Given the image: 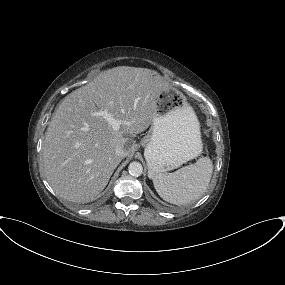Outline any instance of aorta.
Returning a JSON list of instances; mask_svg holds the SVG:
<instances>
[{"label":"aorta","instance_id":"aorta-1","mask_svg":"<svg viewBox=\"0 0 285 285\" xmlns=\"http://www.w3.org/2000/svg\"><path fill=\"white\" fill-rule=\"evenodd\" d=\"M128 170H129V173L135 177H138L142 175L143 173L142 164L136 161L130 163Z\"/></svg>","mask_w":285,"mask_h":285}]
</instances>
